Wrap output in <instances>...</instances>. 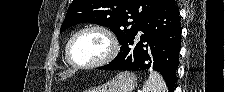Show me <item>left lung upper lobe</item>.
<instances>
[{
  "instance_id": "left-lung-upper-lobe-1",
  "label": "left lung upper lobe",
  "mask_w": 225,
  "mask_h": 92,
  "mask_svg": "<svg viewBox=\"0 0 225 92\" xmlns=\"http://www.w3.org/2000/svg\"><path fill=\"white\" fill-rule=\"evenodd\" d=\"M165 0H73L60 32L78 23L110 27L122 45ZM133 21H130V20Z\"/></svg>"
}]
</instances>
